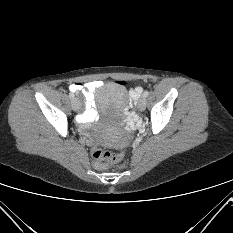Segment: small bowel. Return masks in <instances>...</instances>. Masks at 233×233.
<instances>
[{"label":"small bowel","mask_w":233,"mask_h":233,"mask_svg":"<svg viewBox=\"0 0 233 233\" xmlns=\"http://www.w3.org/2000/svg\"><path fill=\"white\" fill-rule=\"evenodd\" d=\"M102 81L94 80L87 83H73L69 86V90L76 94H82L85 99V110L79 115L78 122L82 127H86L89 123L96 119V110L94 103V94L102 86ZM141 92L140 88H136L131 92L136 97Z\"/></svg>","instance_id":"obj_1"}]
</instances>
